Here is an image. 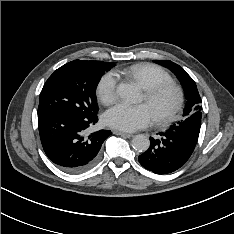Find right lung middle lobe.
Segmentation results:
<instances>
[{
    "mask_svg": "<svg viewBox=\"0 0 234 234\" xmlns=\"http://www.w3.org/2000/svg\"><path fill=\"white\" fill-rule=\"evenodd\" d=\"M112 66V62L74 60L55 70L41 91L38 117L57 112L95 116L96 87Z\"/></svg>",
    "mask_w": 234,
    "mask_h": 234,
    "instance_id": "dd1d6c3e",
    "label": "right lung middle lobe"
}]
</instances>
